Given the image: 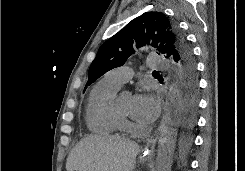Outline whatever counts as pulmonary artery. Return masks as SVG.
I'll use <instances>...</instances> for the list:
<instances>
[{"mask_svg":"<svg viewBox=\"0 0 245 171\" xmlns=\"http://www.w3.org/2000/svg\"><path fill=\"white\" fill-rule=\"evenodd\" d=\"M148 65L151 69H167L168 61L157 55H153L147 58ZM132 76L131 69L127 66H122L110 70L105 74L104 80L109 84L120 88L126 81Z\"/></svg>","mask_w":245,"mask_h":171,"instance_id":"obj_1","label":"pulmonary artery"}]
</instances>
